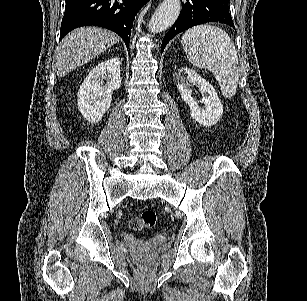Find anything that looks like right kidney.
I'll list each match as a JSON object with an SVG mask.
<instances>
[{"label": "right kidney", "mask_w": 307, "mask_h": 301, "mask_svg": "<svg viewBox=\"0 0 307 301\" xmlns=\"http://www.w3.org/2000/svg\"><path fill=\"white\" fill-rule=\"evenodd\" d=\"M121 86L120 58L112 56L90 70L79 86L77 106L85 120L99 122L109 110L113 90Z\"/></svg>", "instance_id": "obj_1"}]
</instances>
